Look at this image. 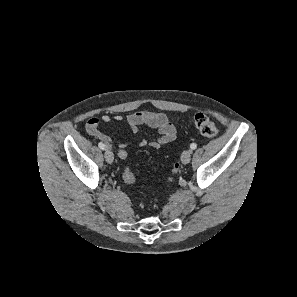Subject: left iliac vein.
Returning a JSON list of instances; mask_svg holds the SVG:
<instances>
[{
  "mask_svg": "<svg viewBox=\"0 0 297 297\" xmlns=\"http://www.w3.org/2000/svg\"><path fill=\"white\" fill-rule=\"evenodd\" d=\"M191 158V151L190 150H185L183 151L181 155V161L183 164H188L190 162Z\"/></svg>",
  "mask_w": 297,
  "mask_h": 297,
  "instance_id": "4c4485c4",
  "label": "left iliac vein"
}]
</instances>
